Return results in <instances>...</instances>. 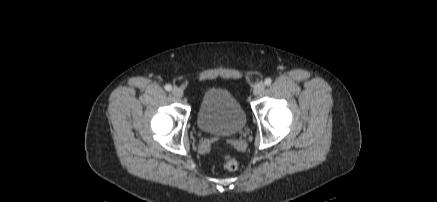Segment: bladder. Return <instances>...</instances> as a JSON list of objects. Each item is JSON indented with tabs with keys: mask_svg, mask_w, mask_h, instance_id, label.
I'll list each match as a JSON object with an SVG mask.
<instances>
[{
	"mask_svg": "<svg viewBox=\"0 0 437 202\" xmlns=\"http://www.w3.org/2000/svg\"><path fill=\"white\" fill-rule=\"evenodd\" d=\"M246 113L227 90L210 88L202 96L196 112L197 127L215 136H234L246 125Z\"/></svg>",
	"mask_w": 437,
	"mask_h": 202,
	"instance_id": "31cf9c89",
	"label": "bladder"
}]
</instances>
